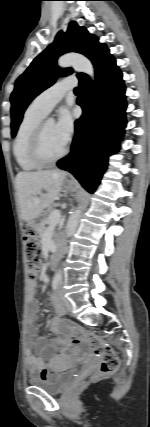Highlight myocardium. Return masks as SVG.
I'll use <instances>...</instances> for the list:
<instances>
[{
    "mask_svg": "<svg viewBox=\"0 0 150 427\" xmlns=\"http://www.w3.org/2000/svg\"><path fill=\"white\" fill-rule=\"evenodd\" d=\"M45 124L46 123H40L37 126V128L35 129L34 134L32 136L31 143H30V157L34 163H36L37 165H39L41 167L49 166V165H52V164L58 162L63 157H65L66 154L68 153V148L65 147L59 155H57L56 157H53V158H47L43 154L42 139H43V132H44Z\"/></svg>",
    "mask_w": 150,
    "mask_h": 427,
    "instance_id": "obj_1",
    "label": "myocardium"
}]
</instances>
